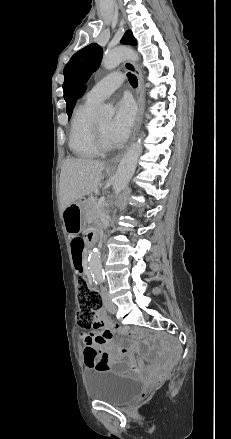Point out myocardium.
<instances>
[{"instance_id": "1", "label": "myocardium", "mask_w": 231, "mask_h": 439, "mask_svg": "<svg viewBox=\"0 0 231 439\" xmlns=\"http://www.w3.org/2000/svg\"><path fill=\"white\" fill-rule=\"evenodd\" d=\"M93 133L94 142L99 151L108 152L116 148L114 144H110L106 141L97 120L94 121Z\"/></svg>"}]
</instances>
